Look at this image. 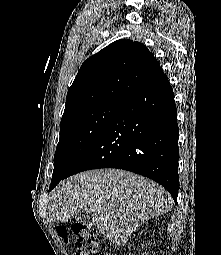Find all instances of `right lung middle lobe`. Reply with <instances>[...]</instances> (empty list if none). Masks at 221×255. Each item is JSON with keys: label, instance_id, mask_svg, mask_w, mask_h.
Instances as JSON below:
<instances>
[{"label": "right lung middle lobe", "instance_id": "1", "mask_svg": "<svg viewBox=\"0 0 221 255\" xmlns=\"http://www.w3.org/2000/svg\"><path fill=\"white\" fill-rule=\"evenodd\" d=\"M120 104H102L77 111L61 120L50 187L62 180L94 142Z\"/></svg>", "mask_w": 221, "mask_h": 255}]
</instances>
